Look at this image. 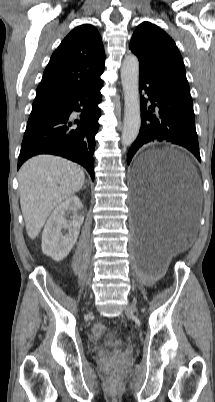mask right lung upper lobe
I'll list each match as a JSON object with an SVG mask.
<instances>
[{
  "label": "right lung upper lobe",
  "instance_id": "cb5924a9",
  "mask_svg": "<svg viewBox=\"0 0 215 402\" xmlns=\"http://www.w3.org/2000/svg\"><path fill=\"white\" fill-rule=\"evenodd\" d=\"M105 53L96 28L84 24L61 42L43 73L33 103L59 102L94 83L104 71Z\"/></svg>",
  "mask_w": 215,
  "mask_h": 402
}]
</instances>
